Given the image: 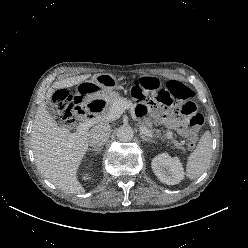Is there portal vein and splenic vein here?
<instances>
[{
  "label": "portal vein and splenic vein",
  "instance_id": "obj_1",
  "mask_svg": "<svg viewBox=\"0 0 248 248\" xmlns=\"http://www.w3.org/2000/svg\"><path fill=\"white\" fill-rule=\"evenodd\" d=\"M129 106L130 105L128 103H126L125 101L115 102L111 106V108L107 111V113L101 117V119L105 120V121L116 120L121 116V114L126 109L129 108ZM92 124H93V122L89 121V120H86L85 122L80 123V125L77 127V133H82V132L88 130V128L91 127ZM140 129H141V133H143L144 135L149 136V137H154L153 134L148 131V129L143 128V127H140Z\"/></svg>",
  "mask_w": 248,
  "mask_h": 248
}]
</instances>
